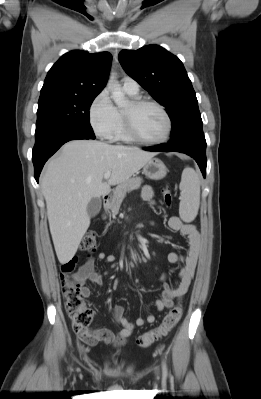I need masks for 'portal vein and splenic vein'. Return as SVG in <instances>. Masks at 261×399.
I'll return each mask as SVG.
<instances>
[{
	"instance_id": "18ae733b",
	"label": "portal vein and splenic vein",
	"mask_w": 261,
	"mask_h": 399,
	"mask_svg": "<svg viewBox=\"0 0 261 399\" xmlns=\"http://www.w3.org/2000/svg\"><path fill=\"white\" fill-rule=\"evenodd\" d=\"M110 175H111V171H107L105 174H104V179H109V177H110Z\"/></svg>"
}]
</instances>
